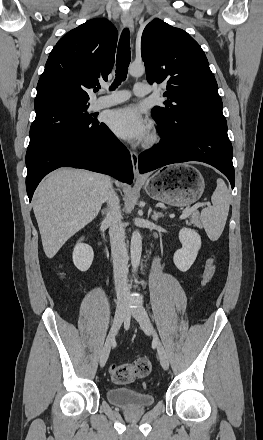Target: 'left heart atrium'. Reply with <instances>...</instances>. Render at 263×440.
Masks as SVG:
<instances>
[{
  "instance_id": "left-heart-atrium-1",
  "label": "left heart atrium",
  "mask_w": 263,
  "mask_h": 440,
  "mask_svg": "<svg viewBox=\"0 0 263 440\" xmlns=\"http://www.w3.org/2000/svg\"><path fill=\"white\" fill-rule=\"evenodd\" d=\"M108 124L119 137L129 141L144 139L150 129L149 121L137 106H126L109 114Z\"/></svg>"
}]
</instances>
